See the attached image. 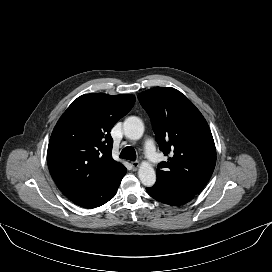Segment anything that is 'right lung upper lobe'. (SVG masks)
<instances>
[{"instance_id":"1","label":"right lung upper lobe","mask_w":272,"mask_h":272,"mask_svg":"<svg viewBox=\"0 0 272 272\" xmlns=\"http://www.w3.org/2000/svg\"><path fill=\"white\" fill-rule=\"evenodd\" d=\"M134 103L133 95L86 94L60 117L49 141L47 162L68 199L95 191L122 166L112 158L110 131Z\"/></svg>"}]
</instances>
